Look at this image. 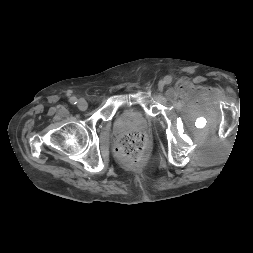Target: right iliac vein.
Returning <instances> with one entry per match:
<instances>
[{"mask_svg": "<svg viewBox=\"0 0 253 253\" xmlns=\"http://www.w3.org/2000/svg\"><path fill=\"white\" fill-rule=\"evenodd\" d=\"M88 107V103L86 102L85 99L81 98L79 101H78V108L81 110V111H85Z\"/></svg>", "mask_w": 253, "mask_h": 253, "instance_id": "right-iliac-vein-1", "label": "right iliac vein"}]
</instances>
